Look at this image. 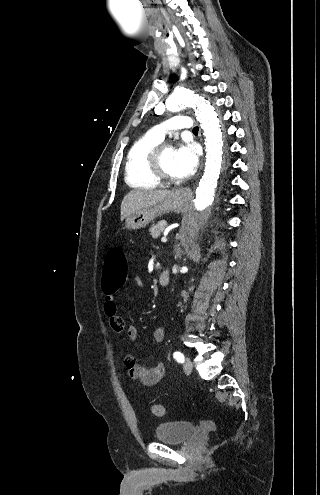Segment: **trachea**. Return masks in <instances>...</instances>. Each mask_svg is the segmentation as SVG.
Masks as SVG:
<instances>
[{
  "mask_svg": "<svg viewBox=\"0 0 320 495\" xmlns=\"http://www.w3.org/2000/svg\"><path fill=\"white\" fill-rule=\"evenodd\" d=\"M198 131H199V128L198 127H194L193 128V133H198Z\"/></svg>",
  "mask_w": 320,
  "mask_h": 495,
  "instance_id": "obj_1",
  "label": "trachea"
}]
</instances>
